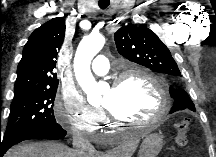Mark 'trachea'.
I'll list each match as a JSON object with an SVG mask.
<instances>
[{
  "label": "trachea",
  "mask_w": 216,
  "mask_h": 157,
  "mask_svg": "<svg viewBox=\"0 0 216 157\" xmlns=\"http://www.w3.org/2000/svg\"><path fill=\"white\" fill-rule=\"evenodd\" d=\"M110 2L98 1V5L101 9H105L109 6Z\"/></svg>",
  "instance_id": "1"
}]
</instances>
